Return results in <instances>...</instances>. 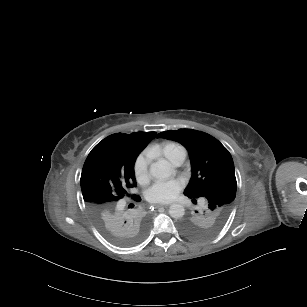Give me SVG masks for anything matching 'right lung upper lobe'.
Here are the masks:
<instances>
[{"instance_id": "obj_1", "label": "right lung upper lobe", "mask_w": 307, "mask_h": 307, "mask_svg": "<svg viewBox=\"0 0 307 307\" xmlns=\"http://www.w3.org/2000/svg\"><path fill=\"white\" fill-rule=\"evenodd\" d=\"M156 132L115 133L99 142L89 153L81 174V189L90 214L99 228L140 238L149 217L141 200L130 189L136 186L134 163Z\"/></svg>"}]
</instances>
